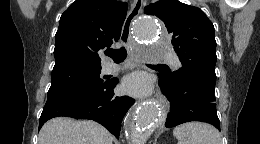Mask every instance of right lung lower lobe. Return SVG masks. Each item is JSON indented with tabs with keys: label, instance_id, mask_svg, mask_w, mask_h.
Instances as JSON below:
<instances>
[{
	"label": "right lung lower lobe",
	"instance_id": "right-lung-lower-lobe-1",
	"mask_svg": "<svg viewBox=\"0 0 260 144\" xmlns=\"http://www.w3.org/2000/svg\"><path fill=\"white\" fill-rule=\"evenodd\" d=\"M117 83L118 80H108L99 87L70 86L49 90L39 129L53 117L66 116L94 120L119 139L122 119L135 100L115 96L113 89Z\"/></svg>",
	"mask_w": 260,
	"mask_h": 144
}]
</instances>
